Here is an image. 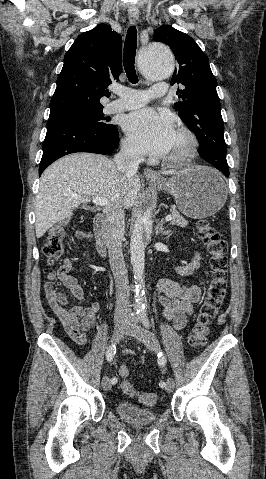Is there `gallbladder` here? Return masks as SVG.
<instances>
[{
  "label": "gallbladder",
  "instance_id": "bac80fb5",
  "mask_svg": "<svg viewBox=\"0 0 266 479\" xmlns=\"http://www.w3.org/2000/svg\"><path fill=\"white\" fill-rule=\"evenodd\" d=\"M82 208H83V209H87L86 206H83Z\"/></svg>",
  "mask_w": 266,
  "mask_h": 479
}]
</instances>
